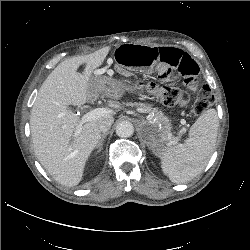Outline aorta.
<instances>
[{
	"label": "aorta",
	"instance_id": "762f6f07",
	"mask_svg": "<svg viewBox=\"0 0 250 250\" xmlns=\"http://www.w3.org/2000/svg\"><path fill=\"white\" fill-rule=\"evenodd\" d=\"M134 132L133 124L129 121H122L116 126V134L119 137L127 138L132 136Z\"/></svg>",
	"mask_w": 250,
	"mask_h": 250
}]
</instances>
